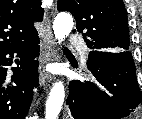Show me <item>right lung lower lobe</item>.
<instances>
[{
  "instance_id": "1",
  "label": "right lung lower lobe",
  "mask_w": 142,
  "mask_h": 119,
  "mask_svg": "<svg viewBox=\"0 0 142 119\" xmlns=\"http://www.w3.org/2000/svg\"><path fill=\"white\" fill-rule=\"evenodd\" d=\"M39 37L36 33L28 41L0 50V119H25L33 96V87L38 85ZM16 54L17 59H14ZM12 67L13 75L7 72Z\"/></svg>"
}]
</instances>
